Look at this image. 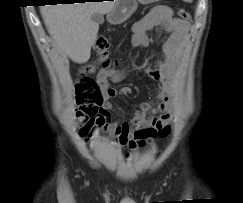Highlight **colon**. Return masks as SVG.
I'll return each mask as SVG.
<instances>
[{"instance_id": "1", "label": "colon", "mask_w": 243, "mask_h": 203, "mask_svg": "<svg viewBox=\"0 0 243 203\" xmlns=\"http://www.w3.org/2000/svg\"><path fill=\"white\" fill-rule=\"evenodd\" d=\"M178 15L184 21L190 20V14L184 9H179ZM109 48L110 43L105 37L97 38L94 44L93 62L82 68L80 76L76 81L75 88L79 105L76 115L78 120L85 125L93 122L104 101V94L101 86L91 74L96 70H111L116 67L121 60V58H111L109 56ZM87 133L88 130L85 127L80 131L81 136Z\"/></svg>"}]
</instances>
